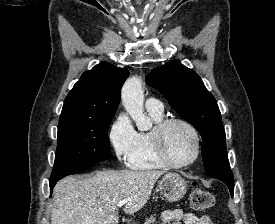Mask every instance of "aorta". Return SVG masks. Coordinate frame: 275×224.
<instances>
[{
	"instance_id": "aorta-1",
	"label": "aorta",
	"mask_w": 275,
	"mask_h": 224,
	"mask_svg": "<svg viewBox=\"0 0 275 224\" xmlns=\"http://www.w3.org/2000/svg\"><path fill=\"white\" fill-rule=\"evenodd\" d=\"M121 97L125 110L135 121L138 130H148L151 121L144 113V94L140 78H129L122 88Z\"/></svg>"
}]
</instances>
